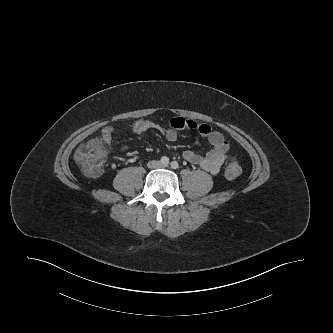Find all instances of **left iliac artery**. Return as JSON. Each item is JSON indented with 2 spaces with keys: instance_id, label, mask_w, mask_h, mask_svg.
Returning <instances> with one entry per match:
<instances>
[{
  "instance_id": "44dca946",
  "label": "left iliac artery",
  "mask_w": 333,
  "mask_h": 333,
  "mask_svg": "<svg viewBox=\"0 0 333 333\" xmlns=\"http://www.w3.org/2000/svg\"><path fill=\"white\" fill-rule=\"evenodd\" d=\"M178 167H179L178 162H176V161L171 162V168L172 169H177Z\"/></svg>"
}]
</instances>
